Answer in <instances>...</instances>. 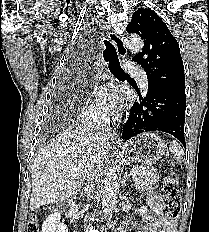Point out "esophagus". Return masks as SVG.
<instances>
[{
    "instance_id": "1",
    "label": "esophagus",
    "mask_w": 209,
    "mask_h": 232,
    "mask_svg": "<svg viewBox=\"0 0 209 232\" xmlns=\"http://www.w3.org/2000/svg\"><path fill=\"white\" fill-rule=\"evenodd\" d=\"M109 39L111 40V42H112V43L114 44V46L116 47V50H117V52H118V55H119L121 58H125L126 55H127V49H126V47H125L123 38L120 37L119 35H117V34L114 33V32H110V33H109ZM116 135H117L116 126H115V124H113V127H112V136H113V138H116Z\"/></svg>"
}]
</instances>
